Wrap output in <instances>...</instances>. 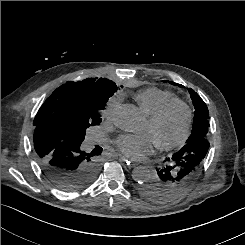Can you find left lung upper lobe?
<instances>
[{
  "mask_svg": "<svg viewBox=\"0 0 245 245\" xmlns=\"http://www.w3.org/2000/svg\"><path fill=\"white\" fill-rule=\"evenodd\" d=\"M166 82V81H164ZM172 85H177V83H174L172 81L169 82ZM180 87H183L182 85H179ZM189 93L191 96V99L193 101V105L195 107L194 112V121H193V129L192 133L187 139L186 143L195 141L197 139L206 138V134L208 132V108L205 104V102L200 98V96L191 88H189Z\"/></svg>",
  "mask_w": 245,
  "mask_h": 245,
  "instance_id": "left-lung-upper-lobe-1",
  "label": "left lung upper lobe"
}]
</instances>
